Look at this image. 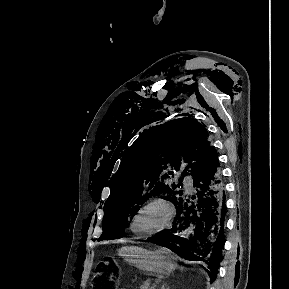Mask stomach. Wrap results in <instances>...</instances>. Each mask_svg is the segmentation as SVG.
Listing matches in <instances>:
<instances>
[{"label": "stomach", "instance_id": "stomach-1", "mask_svg": "<svg viewBox=\"0 0 289 289\" xmlns=\"http://www.w3.org/2000/svg\"><path fill=\"white\" fill-rule=\"evenodd\" d=\"M118 254L126 262L146 273L167 275L175 268L171 256L165 249L151 251L139 246H125Z\"/></svg>", "mask_w": 289, "mask_h": 289}]
</instances>
